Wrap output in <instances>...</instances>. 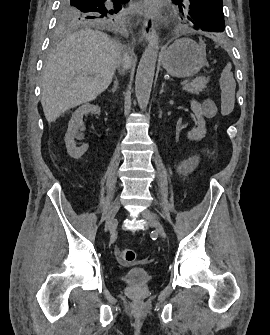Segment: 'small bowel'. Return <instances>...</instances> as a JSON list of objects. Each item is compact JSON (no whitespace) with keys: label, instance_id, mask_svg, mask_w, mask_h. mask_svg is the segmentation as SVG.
<instances>
[{"label":"small bowel","instance_id":"c3829d8e","mask_svg":"<svg viewBox=\"0 0 270 335\" xmlns=\"http://www.w3.org/2000/svg\"><path fill=\"white\" fill-rule=\"evenodd\" d=\"M231 77V76H230ZM199 162V155L195 154L191 156L183 165L184 168L193 169Z\"/></svg>","mask_w":270,"mask_h":335}]
</instances>
